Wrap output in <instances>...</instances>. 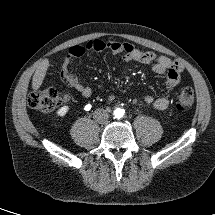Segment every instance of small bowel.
<instances>
[{"mask_svg": "<svg viewBox=\"0 0 215 215\" xmlns=\"http://www.w3.org/2000/svg\"><path fill=\"white\" fill-rule=\"evenodd\" d=\"M104 50H111L116 54L123 53L122 58L126 62L135 61L150 65L156 74L164 77V85L168 90H172L179 82L183 66L177 61H173L166 56H157L152 52L143 51L130 43L91 40L84 46L72 47L65 58L62 68L64 81L80 92L84 98H89L92 95V89L83 86L79 82L77 75L70 71V65L74 60L82 58L87 54L99 53ZM145 101L152 104L157 110H165L170 106L172 99L170 95L158 99H154L152 96H146Z\"/></svg>", "mask_w": 215, "mask_h": 215, "instance_id": "small-bowel-1", "label": "small bowel"}]
</instances>
